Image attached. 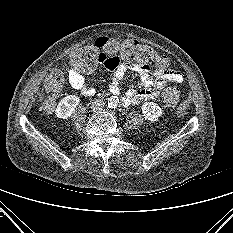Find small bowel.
I'll use <instances>...</instances> for the list:
<instances>
[{
	"instance_id": "c3829d8e",
	"label": "small bowel",
	"mask_w": 233,
	"mask_h": 233,
	"mask_svg": "<svg viewBox=\"0 0 233 233\" xmlns=\"http://www.w3.org/2000/svg\"><path fill=\"white\" fill-rule=\"evenodd\" d=\"M103 62L107 69L113 72V80L109 86V91L112 94L119 93L128 68L140 75L145 87L128 90L121 99L122 104L125 106L137 105L146 100L156 99L160 95V90L163 89L167 82L180 83L183 79L179 72L168 68H157L155 71H151L150 66L147 65L132 64L127 66L120 61L118 56L108 57ZM68 77L71 87L82 95L93 96L96 93V87L88 85L83 75L75 67L70 69Z\"/></svg>"
}]
</instances>
